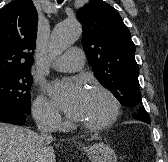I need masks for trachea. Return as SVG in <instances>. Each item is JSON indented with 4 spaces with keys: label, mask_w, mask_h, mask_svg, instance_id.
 <instances>
[{
    "label": "trachea",
    "mask_w": 168,
    "mask_h": 162,
    "mask_svg": "<svg viewBox=\"0 0 168 162\" xmlns=\"http://www.w3.org/2000/svg\"><path fill=\"white\" fill-rule=\"evenodd\" d=\"M64 0H57L58 4H61Z\"/></svg>",
    "instance_id": "obj_1"
}]
</instances>
